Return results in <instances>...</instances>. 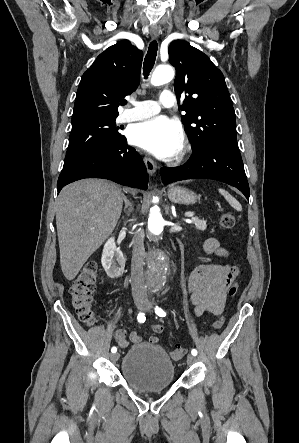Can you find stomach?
<instances>
[{
  "instance_id": "stomach-1",
  "label": "stomach",
  "mask_w": 299,
  "mask_h": 443,
  "mask_svg": "<svg viewBox=\"0 0 299 443\" xmlns=\"http://www.w3.org/2000/svg\"><path fill=\"white\" fill-rule=\"evenodd\" d=\"M168 197L172 202L181 204H194L197 200V195L194 192L180 186H170Z\"/></svg>"
}]
</instances>
